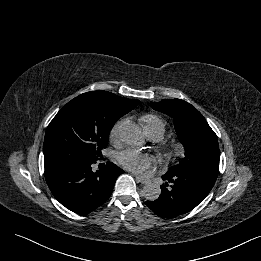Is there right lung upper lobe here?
<instances>
[{"label":"right lung upper lobe","mask_w":261,"mask_h":261,"mask_svg":"<svg viewBox=\"0 0 261 261\" xmlns=\"http://www.w3.org/2000/svg\"><path fill=\"white\" fill-rule=\"evenodd\" d=\"M78 97L91 99L97 104L99 108H101L106 113L111 114H121L127 111L129 112L139 103V101L136 99L119 97L107 91H90L81 94Z\"/></svg>","instance_id":"cb5924a9"}]
</instances>
